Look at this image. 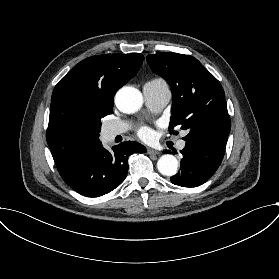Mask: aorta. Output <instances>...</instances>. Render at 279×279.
<instances>
[{
    "instance_id": "1",
    "label": "aorta",
    "mask_w": 279,
    "mask_h": 279,
    "mask_svg": "<svg viewBox=\"0 0 279 279\" xmlns=\"http://www.w3.org/2000/svg\"><path fill=\"white\" fill-rule=\"evenodd\" d=\"M117 108L123 113H135L142 107L143 97L133 87L121 88L115 97ZM158 171L165 176H174L178 171V160L171 154H164L157 162Z\"/></svg>"
}]
</instances>
